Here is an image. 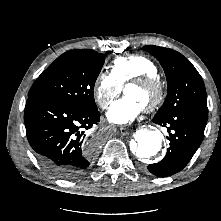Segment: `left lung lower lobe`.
I'll return each instance as SVG.
<instances>
[{
    "label": "left lung lower lobe",
    "instance_id": "1",
    "mask_svg": "<svg viewBox=\"0 0 221 221\" xmlns=\"http://www.w3.org/2000/svg\"><path fill=\"white\" fill-rule=\"evenodd\" d=\"M207 120L208 113L196 109L154 117V123L167 127L170 147L163 160L148 165V170L158 177L171 176L182 170L201 144Z\"/></svg>",
    "mask_w": 221,
    "mask_h": 221
}]
</instances>
